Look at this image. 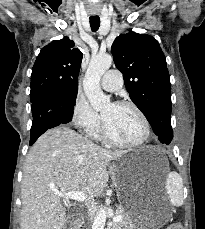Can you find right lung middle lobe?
Wrapping results in <instances>:
<instances>
[{
	"instance_id": "dd1d6c3e",
	"label": "right lung middle lobe",
	"mask_w": 205,
	"mask_h": 229,
	"mask_svg": "<svg viewBox=\"0 0 205 229\" xmlns=\"http://www.w3.org/2000/svg\"><path fill=\"white\" fill-rule=\"evenodd\" d=\"M66 93L76 99L77 96V88H70ZM32 102V101H31Z\"/></svg>"
}]
</instances>
